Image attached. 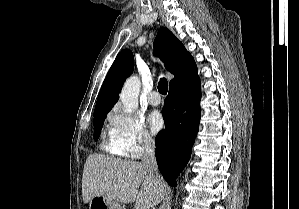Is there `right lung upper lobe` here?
I'll list each match as a JSON object with an SVG mask.
<instances>
[{"label": "right lung upper lobe", "instance_id": "cb5924a9", "mask_svg": "<svg viewBox=\"0 0 299 209\" xmlns=\"http://www.w3.org/2000/svg\"><path fill=\"white\" fill-rule=\"evenodd\" d=\"M154 51L174 75L170 87L188 83L197 77V66L184 45L167 28L162 27L155 40ZM134 57L130 50L121 51L112 64L98 95L94 114L109 112L118 100L125 79L133 72Z\"/></svg>", "mask_w": 299, "mask_h": 209}]
</instances>
